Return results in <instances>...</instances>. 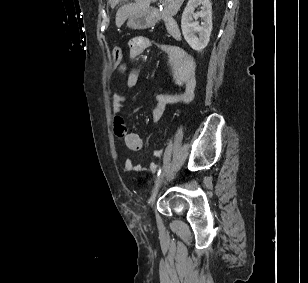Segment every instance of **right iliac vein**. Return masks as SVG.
<instances>
[{"instance_id":"63e3f726","label":"right iliac vein","mask_w":308,"mask_h":283,"mask_svg":"<svg viewBox=\"0 0 308 283\" xmlns=\"http://www.w3.org/2000/svg\"><path fill=\"white\" fill-rule=\"evenodd\" d=\"M164 176H165V173L162 172L161 175L159 176V178L157 179L156 183H155V186L152 190V194H151V197H150V205L152 206L153 205V202L155 200V197L159 191V188L163 182V179H164Z\"/></svg>"}]
</instances>
